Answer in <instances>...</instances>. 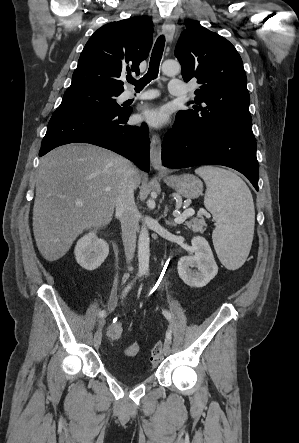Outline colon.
Wrapping results in <instances>:
<instances>
[{
	"instance_id": "obj_1",
	"label": "colon",
	"mask_w": 299,
	"mask_h": 443,
	"mask_svg": "<svg viewBox=\"0 0 299 443\" xmlns=\"http://www.w3.org/2000/svg\"><path fill=\"white\" fill-rule=\"evenodd\" d=\"M123 335V325L120 321L114 320L106 330V336L110 340H118ZM140 351V344L138 342H132L125 348V354L127 356H136ZM163 358L162 344L156 343L151 350V362L158 364Z\"/></svg>"
}]
</instances>
